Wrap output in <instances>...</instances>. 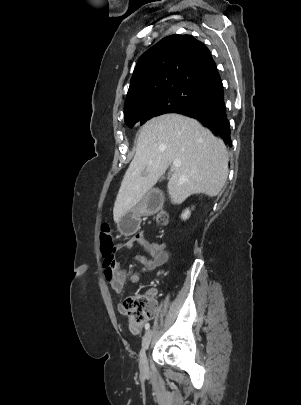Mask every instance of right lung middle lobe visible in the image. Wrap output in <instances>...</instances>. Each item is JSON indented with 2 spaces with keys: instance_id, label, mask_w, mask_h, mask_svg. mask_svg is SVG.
Listing matches in <instances>:
<instances>
[{
  "instance_id": "right-lung-middle-lobe-1",
  "label": "right lung middle lobe",
  "mask_w": 301,
  "mask_h": 405,
  "mask_svg": "<svg viewBox=\"0 0 301 405\" xmlns=\"http://www.w3.org/2000/svg\"><path fill=\"white\" fill-rule=\"evenodd\" d=\"M210 94L188 87L169 89L138 102L133 109L124 113L125 123L133 127L135 123L144 124L152 117L172 113L178 108L198 103Z\"/></svg>"
}]
</instances>
